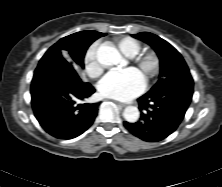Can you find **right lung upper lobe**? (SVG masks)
Returning a JSON list of instances; mask_svg holds the SVG:
<instances>
[{"label":"right lung upper lobe","instance_id":"right-lung-upper-lobe-1","mask_svg":"<svg viewBox=\"0 0 222 187\" xmlns=\"http://www.w3.org/2000/svg\"><path fill=\"white\" fill-rule=\"evenodd\" d=\"M80 33H82V34L85 35V36L93 37V38H96V39H98L99 37H102V36H105V35H106L105 33L96 32V31H91V30L82 31V32H80ZM68 37H69V36L62 38L59 42H57L56 44H54L53 47L58 46L61 41L67 39ZM45 56L51 58V57L48 56V55H45ZM54 57H57V56H54Z\"/></svg>","mask_w":222,"mask_h":187}]
</instances>
